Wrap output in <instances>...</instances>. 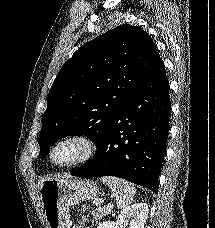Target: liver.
<instances>
[{
  "label": "liver",
  "instance_id": "liver-1",
  "mask_svg": "<svg viewBox=\"0 0 215 228\" xmlns=\"http://www.w3.org/2000/svg\"><path fill=\"white\" fill-rule=\"evenodd\" d=\"M42 182H45V180H42ZM37 186H38V188H40L41 182H38Z\"/></svg>",
  "mask_w": 215,
  "mask_h": 228
}]
</instances>
